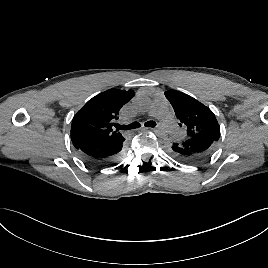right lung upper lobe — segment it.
<instances>
[{"label":"right lung upper lobe","mask_w":268,"mask_h":268,"mask_svg":"<svg viewBox=\"0 0 268 268\" xmlns=\"http://www.w3.org/2000/svg\"><path fill=\"white\" fill-rule=\"evenodd\" d=\"M133 90L109 89L90 99L74 116L71 140L75 148L85 144L109 143L122 138L113 129L121 107L133 96Z\"/></svg>","instance_id":"cb5924a9"}]
</instances>
